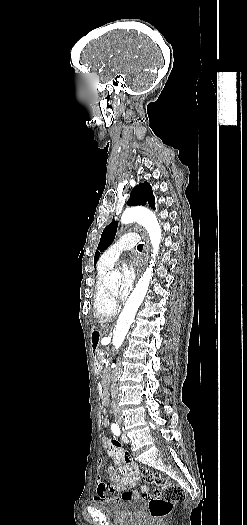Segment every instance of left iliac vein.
<instances>
[{"instance_id":"left-iliac-vein-1","label":"left iliac vein","mask_w":247,"mask_h":525,"mask_svg":"<svg viewBox=\"0 0 247 525\" xmlns=\"http://www.w3.org/2000/svg\"><path fill=\"white\" fill-rule=\"evenodd\" d=\"M122 440H123L124 443H128L129 442V438L125 434L122 435Z\"/></svg>"}]
</instances>
